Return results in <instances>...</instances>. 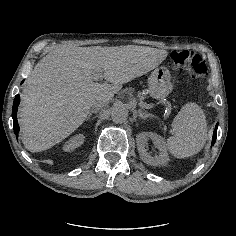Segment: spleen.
Wrapping results in <instances>:
<instances>
[{
    "label": "spleen",
    "instance_id": "3e777b00",
    "mask_svg": "<svg viewBox=\"0 0 236 236\" xmlns=\"http://www.w3.org/2000/svg\"><path fill=\"white\" fill-rule=\"evenodd\" d=\"M173 135L167 139V147L176 157H190L198 153L207 139L206 117L195 103L182 106L171 122Z\"/></svg>",
    "mask_w": 236,
    "mask_h": 236
}]
</instances>
